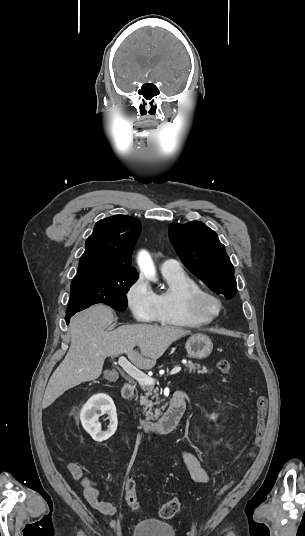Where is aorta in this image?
<instances>
[{
    "label": "aorta",
    "instance_id": "obj_1",
    "mask_svg": "<svg viewBox=\"0 0 305 536\" xmlns=\"http://www.w3.org/2000/svg\"><path fill=\"white\" fill-rule=\"evenodd\" d=\"M138 265L141 272L149 279H155L156 271L153 261L146 251H141L138 255Z\"/></svg>",
    "mask_w": 305,
    "mask_h": 536
}]
</instances>
